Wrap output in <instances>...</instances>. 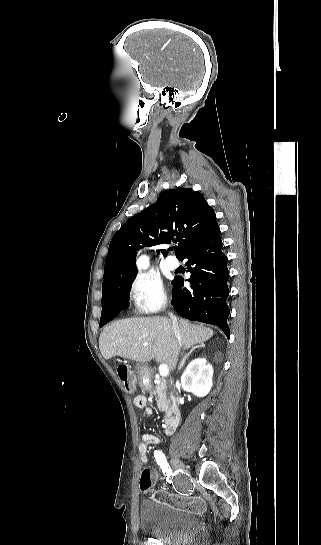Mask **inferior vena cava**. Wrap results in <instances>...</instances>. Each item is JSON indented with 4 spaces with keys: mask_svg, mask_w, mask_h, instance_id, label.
Masks as SVG:
<instances>
[{
    "mask_svg": "<svg viewBox=\"0 0 321 545\" xmlns=\"http://www.w3.org/2000/svg\"><path fill=\"white\" fill-rule=\"evenodd\" d=\"M170 315V319H172V325H173V329L175 331V335L179 341V343H181V337H180V333H177L176 329L178 327V321L176 319V317H174L173 313H169Z\"/></svg>",
    "mask_w": 321,
    "mask_h": 545,
    "instance_id": "1",
    "label": "inferior vena cava"
}]
</instances>
